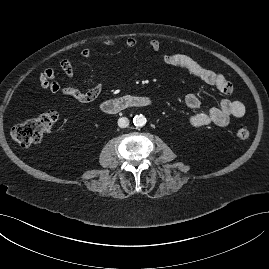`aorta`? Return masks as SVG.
<instances>
[{
    "instance_id": "762f6f07",
    "label": "aorta",
    "mask_w": 269,
    "mask_h": 269,
    "mask_svg": "<svg viewBox=\"0 0 269 269\" xmlns=\"http://www.w3.org/2000/svg\"><path fill=\"white\" fill-rule=\"evenodd\" d=\"M133 123L136 127H143L146 124V117L142 114L136 115L133 118Z\"/></svg>"
}]
</instances>
